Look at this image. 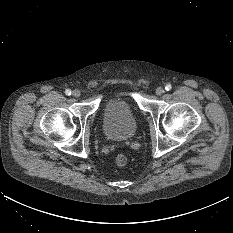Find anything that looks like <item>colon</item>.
I'll list each match as a JSON object with an SVG mask.
<instances>
[{
  "label": "colon",
  "mask_w": 233,
  "mask_h": 233,
  "mask_svg": "<svg viewBox=\"0 0 233 233\" xmlns=\"http://www.w3.org/2000/svg\"><path fill=\"white\" fill-rule=\"evenodd\" d=\"M115 162L118 166H125L128 163V158L124 154L117 155Z\"/></svg>",
  "instance_id": "1"
}]
</instances>
